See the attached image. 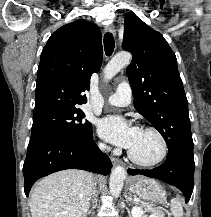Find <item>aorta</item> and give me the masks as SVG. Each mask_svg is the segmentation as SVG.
<instances>
[{
  "mask_svg": "<svg viewBox=\"0 0 211 217\" xmlns=\"http://www.w3.org/2000/svg\"><path fill=\"white\" fill-rule=\"evenodd\" d=\"M131 61V54L121 52L115 55L104 68V80H111L121 69L128 65ZM126 178L125 169L122 166H116L112 169L110 175L109 188L113 196H119L124 180Z\"/></svg>",
  "mask_w": 211,
  "mask_h": 217,
  "instance_id": "1",
  "label": "aorta"
}]
</instances>
